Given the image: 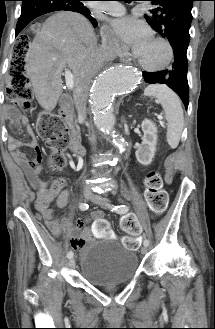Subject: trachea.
Instances as JSON below:
<instances>
[{
    "label": "trachea",
    "mask_w": 215,
    "mask_h": 329,
    "mask_svg": "<svg viewBox=\"0 0 215 329\" xmlns=\"http://www.w3.org/2000/svg\"><path fill=\"white\" fill-rule=\"evenodd\" d=\"M121 1L130 2V1H133V0H121Z\"/></svg>",
    "instance_id": "obj_1"
}]
</instances>
